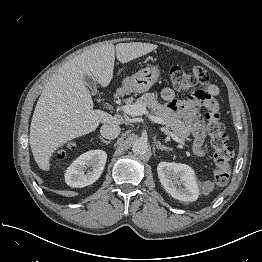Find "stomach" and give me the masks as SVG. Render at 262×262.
I'll return each mask as SVG.
<instances>
[{
	"mask_svg": "<svg viewBox=\"0 0 262 262\" xmlns=\"http://www.w3.org/2000/svg\"><path fill=\"white\" fill-rule=\"evenodd\" d=\"M159 76L160 69L157 66L146 67L126 77L122 82L121 90L126 93L146 92L157 82Z\"/></svg>",
	"mask_w": 262,
	"mask_h": 262,
	"instance_id": "obj_1",
	"label": "stomach"
}]
</instances>
